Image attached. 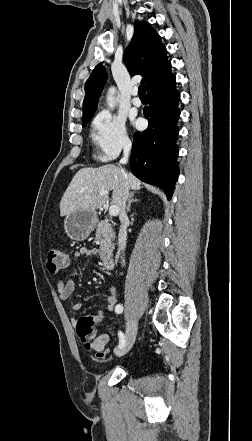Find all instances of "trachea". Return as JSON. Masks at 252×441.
Wrapping results in <instances>:
<instances>
[{
    "label": "trachea",
    "instance_id": "3493384b",
    "mask_svg": "<svg viewBox=\"0 0 252 441\" xmlns=\"http://www.w3.org/2000/svg\"><path fill=\"white\" fill-rule=\"evenodd\" d=\"M138 95L146 97V89H145V85L144 84H141L139 86V88H138Z\"/></svg>",
    "mask_w": 252,
    "mask_h": 441
}]
</instances>
